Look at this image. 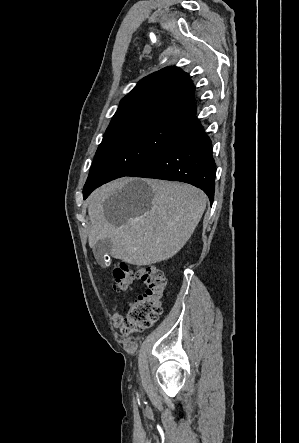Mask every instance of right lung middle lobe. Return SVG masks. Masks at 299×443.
<instances>
[{
	"label": "right lung middle lobe",
	"mask_w": 299,
	"mask_h": 443,
	"mask_svg": "<svg viewBox=\"0 0 299 443\" xmlns=\"http://www.w3.org/2000/svg\"><path fill=\"white\" fill-rule=\"evenodd\" d=\"M183 122L147 119L106 133L83 189L86 198L97 187L127 176L158 154L179 133Z\"/></svg>",
	"instance_id": "dd1d6c3e"
}]
</instances>
